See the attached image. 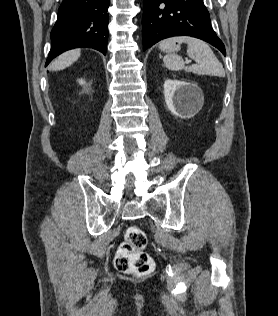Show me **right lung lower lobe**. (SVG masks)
Returning <instances> with one entry per match:
<instances>
[{
	"label": "right lung lower lobe",
	"instance_id": "obj_1",
	"mask_svg": "<svg viewBox=\"0 0 278 316\" xmlns=\"http://www.w3.org/2000/svg\"><path fill=\"white\" fill-rule=\"evenodd\" d=\"M109 5L110 0H63L51 31L52 46L45 66L73 48H94L106 55Z\"/></svg>",
	"mask_w": 278,
	"mask_h": 316
}]
</instances>
